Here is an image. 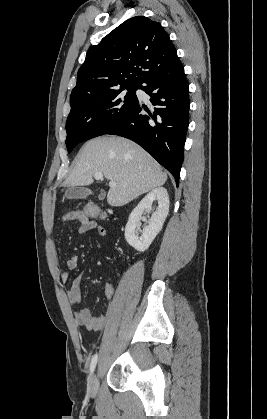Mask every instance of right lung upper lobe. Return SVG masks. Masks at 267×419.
I'll return each mask as SVG.
<instances>
[{"instance_id": "right-lung-upper-lobe-1", "label": "right lung upper lobe", "mask_w": 267, "mask_h": 419, "mask_svg": "<svg viewBox=\"0 0 267 419\" xmlns=\"http://www.w3.org/2000/svg\"><path fill=\"white\" fill-rule=\"evenodd\" d=\"M177 61L176 49L160 23L144 16L130 18L89 48L71 104L90 95L138 87L149 74Z\"/></svg>"}]
</instances>
